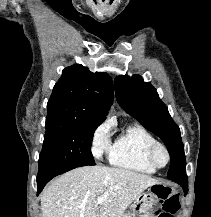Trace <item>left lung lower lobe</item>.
<instances>
[{
    "label": "left lung lower lobe",
    "instance_id": "left-lung-lower-lobe-1",
    "mask_svg": "<svg viewBox=\"0 0 211 217\" xmlns=\"http://www.w3.org/2000/svg\"><path fill=\"white\" fill-rule=\"evenodd\" d=\"M176 183H178L179 185H181V187L184 190V194L186 195L187 192H188V182H181V181H179V182H176Z\"/></svg>",
    "mask_w": 211,
    "mask_h": 217
}]
</instances>
